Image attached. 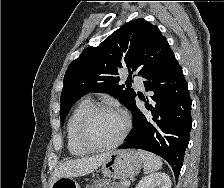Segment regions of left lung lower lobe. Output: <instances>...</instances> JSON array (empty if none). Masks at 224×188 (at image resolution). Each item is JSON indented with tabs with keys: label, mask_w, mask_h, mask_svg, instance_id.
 <instances>
[{
	"label": "left lung lower lobe",
	"mask_w": 224,
	"mask_h": 188,
	"mask_svg": "<svg viewBox=\"0 0 224 188\" xmlns=\"http://www.w3.org/2000/svg\"><path fill=\"white\" fill-rule=\"evenodd\" d=\"M145 79L146 90L154 95L145 102L147 111L140 110L135 99L132 102L133 129L119 149L138 148L159 155L170 164L177 180L192 122L187 83L175 56Z\"/></svg>",
	"instance_id": "left-lung-lower-lobe-1"
}]
</instances>
